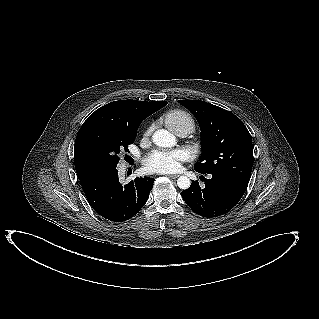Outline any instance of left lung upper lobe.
Returning <instances> with one entry per match:
<instances>
[{"label": "left lung upper lobe", "mask_w": 319, "mask_h": 319, "mask_svg": "<svg viewBox=\"0 0 319 319\" xmlns=\"http://www.w3.org/2000/svg\"><path fill=\"white\" fill-rule=\"evenodd\" d=\"M201 128L202 155L195 170L222 173L249 183L253 166L251 135L232 112L200 100H179Z\"/></svg>", "instance_id": "1"}]
</instances>
